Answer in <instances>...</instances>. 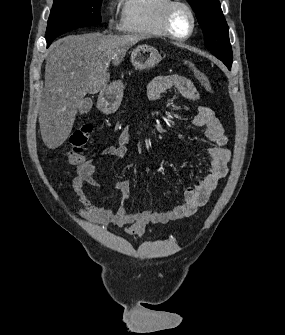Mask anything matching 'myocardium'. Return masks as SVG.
Masks as SVG:
<instances>
[{
    "instance_id": "1",
    "label": "myocardium",
    "mask_w": 285,
    "mask_h": 335,
    "mask_svg": "<svg viewBox=\"0 0 285 335\" xmlns=\"http://www.w3.org/2000/svg\"><path fill=\"white\" fill-rule=\"evenodd\" d=\"M188 17L190 20V25L188 32L184 36H180L178 28L182 23V20ZM178 18L181 19L178 22ZM193 16L189 7L181 1H172L166 8L164 12V24L168 34L174 38H184L187 37L193 29Z\"/></svg>"
}]
</instances>
